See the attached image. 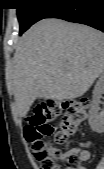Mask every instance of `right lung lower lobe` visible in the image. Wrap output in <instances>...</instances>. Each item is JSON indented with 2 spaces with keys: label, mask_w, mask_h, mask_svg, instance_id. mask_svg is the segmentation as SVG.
<instances>
[{
  "label": "right lung lower lobe",
  "mask_w": 104,
  "mask_h": 169,
  "mask_svg": "<svg viewBox=\"0 0 104 169\" xmlns=\"http://www.w3.org/2000/svg\"><path fill=\"white\" fill-rule=\"evenodd\" d=\"M47 18L86 24L104 32V0H68Z\"/></svg>",
  "instance_id": "right-lung-lower-lobe-1"
}]
</instances>
